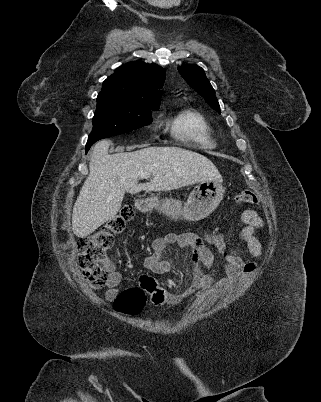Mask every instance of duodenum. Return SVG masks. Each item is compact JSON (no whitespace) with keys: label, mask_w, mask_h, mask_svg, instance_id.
I'll use <instances>...</instances> for the list:
<instances>
[{"label":"duodenum","mask_w":321,"mask_h":402,"mask_svg":"<svg viewBox=\"0 0 321 402\" xmlns=\"http://www.w3.org/2000/svg\"><path fill=\"white\" fill-rule=\"evenodd\" d=\"M149 201L145 198H138L135 201V207L138 210H144L148 207Z\"/></svg>","instance_id":"duodenum-1"}]
</instances>
